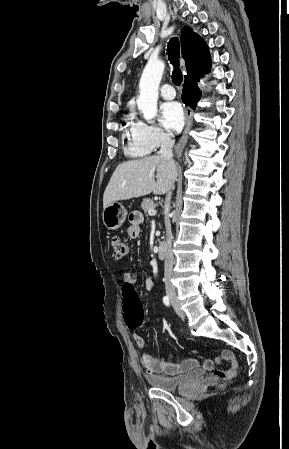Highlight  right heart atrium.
I'll list each match as a JSON object with an SVG mask.
<instances>
[{
    "label": "right heart atrium",
    "mask_w": 289,
    "mask_h": 449,
    "mask_svg": "<svg viewBox=\"0 0 289 449\" xmlns=\"http://www.w3.org/2000/svg\"><path fill=\"white\" fill-rule=\"evenodd\" d=\"M135 139L149 152L156 150L170 141L169 135L160 127L142 120L135 122Z\"/></svg>",
    "instance_id": "obj_1"
}]
</instances>
